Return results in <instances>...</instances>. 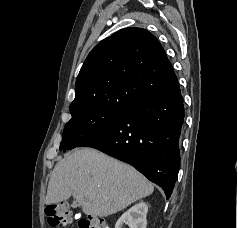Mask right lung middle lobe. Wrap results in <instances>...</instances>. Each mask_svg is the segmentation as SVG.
Masks as SVG:
<instances>
[{
    "mask_svg": "<svg viewBox=\"0 0 238 228\" xmlns=\"http://www.w3.org/2000/svg\"><path fill=\"white\" fill-rule=\"evenodd\" d=\"M127 107L92 106L71 112L72 118L64 127L59 149L65 151L78 147L116 121Z\"/></svg>",
    "mask_w": 238,
    "mask_h": 228,
    "instance_id": "dd1d6c3e",
    "label": "right lung middle lobe"
}]
</instances>
